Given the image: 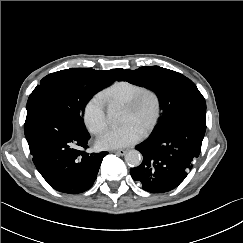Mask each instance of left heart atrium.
<instances>
[{"label":"left heart atrium","instance_id":"left-heart-atrium-1","mask_svg":"<svg viewBox=\"0 0 243 243\" xmlns=\"http://www.w3.org/2000/svg\"><path fill=\"white\" fill-rule=\"evenodd\" d=\"M143 131L133 123L106 130L97 140L101 149H119L131 146L141 140Z\"/></svg>","mask_w":243,"mask_h":243}]
</instances>
